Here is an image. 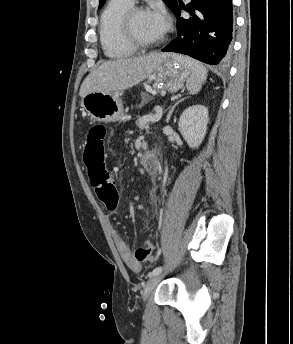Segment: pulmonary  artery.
<instances>
[{
    "label": "pulmonary artery",
    "mask_w": 293,
    "mask_h": 344,
    "mask_svg": "<svg viewBox=\"0 0 293 344\" xmlns=\"http://www.w3.org/2000/svg\"><path fill=\"white\" fill-rule=\"evenodd\" d=\"M125 1H128V2H131V3H133V1H134V0H125Z\"/></svg>",
    "instance_id": "1"
}]
</instances>
